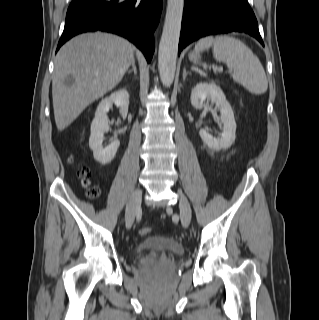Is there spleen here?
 <instances>
[{
  "label": "spleen",
  "mask_w": 319,
  "mask_h": 320,
  "mask_svg": "<svg viewBox=\"0 0 319 320\" xmlns=\"http://www.w3.org/2000/svg\"><path fill=\"white\" fill-rule=\"evenodd\" d=\"M213 47V56L225 63L233 71V80L243 85L250 93L263 94L268 89L265 70L258 57L239 39L228 35L201 38L195 45V51Z\"/></svg>",
  "instance_id": "spleen-1"
}]
</instances>
